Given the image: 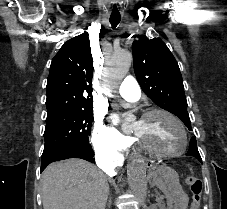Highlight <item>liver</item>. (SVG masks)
I'll list each match as a JSON object with an SVG mask.
<instances>
[{"label": "liver", "instance_id": "1", "mask_svg": "<svg viewBox=\"0 0 227 209\" xmlns=\"http://www.w3.org/2000/svg\"><path fill=\"white\" fill-rule=\"evenodd\" d=\"M43 209H105L108 179L82 159L52 163L41 177Z\"/></svg>", "mask_w": 227, "mask_h": 209}]
</instances>
